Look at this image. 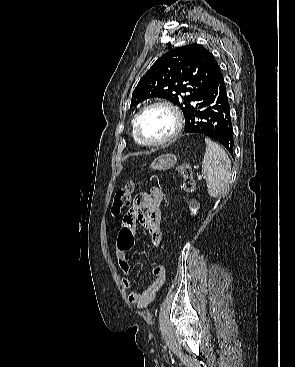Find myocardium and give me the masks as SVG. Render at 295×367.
I'll return each instance as SVG.
<instances>
[{
    "label": "myocardium",
    "instance_id": "myocardium-1",
    "mask_svg": "<svg viewBox=\"0 0 295 367\" xmlns=\"http://www.w3.org/2000/svg\"><path fill=\"white\" fill-rule=\"evenodd\" d=\"M155 107L165 108L173 115L174 129L167 137L161 140L147 141L142 137L140 133L139 122L144 112H146L147 110L151 108H155ZM182 126H183V118H182L180 111L173 104L166 102V101H155V102L146 104L137 112V114L134 117V122H133L134 134L138 142L141 143L142 145L149 146V147H158V146H163L168 143H171L180 134L182 130Z\"/></svg>",
    "mask_w": 295,
    "mask_h": 367
}]
</instances>
